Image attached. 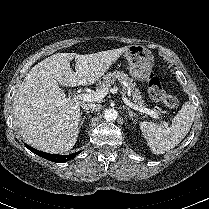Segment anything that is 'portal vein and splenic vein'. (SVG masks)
I'll list each match as a JSON object with an SVG mask.
<instances>
[{"instance_id":"portal-vein-and-splenic-vein-1","label":"portal vein and splenic vein","mask_w":209,"mask_h":209,"mask_svg":"<svg viewBox=\"0 0 209 209\" xmlns=\"http://www.w3.org/2000/svg\"><path fill=\"white\" fill-rule=\"evenodd\" d=\"M110 91L113 93L117 92L118 88H113ZM108 92L109 91L100 90V91L93 92V93H83V94L75 96L74 99L75 100H83L86 102H93V101L96 102V101L103 99L108 94ZM123 101L125 102L126 105H128L132 109L137 110L141 113H145L147 115H150L151 117H153L155 119H159L157 112L132 103L130 100H128L126 97H124V95H123ZM163 124L166 126L168 125L167 122H164Z\"/></svg>"}]
</instances>
